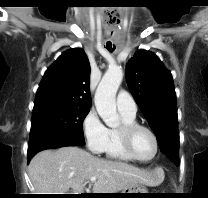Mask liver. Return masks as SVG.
<instances>
[{"mask_svg":"<svg viewBox=\"0 0 208 198\" xmlns=\"http://www.w3.org/2000/svg\"><path fill=\"white\" fill-rule=\"evenodd\" d=\"M35 194H81L87 181L96 177L93 193H118L133 184L155 186L163 174H154L127 163L98 158L73 146L37 153L29 163Z\"/></svg>","mask_w":208,"mask_h":198,"instance_id":"liver-1","label":"liver"}]
</instances>
